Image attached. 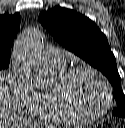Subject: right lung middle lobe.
<instances>
[{
  "label": "right lung middle lobe",
  "mask_w": 125,
  "mask_h": 128,
  "mask_svg": "<svg viewBox=\"0 0 125 128\" xmlns=\"http://www.w3.org/2000/svg\"><path fill=\"white\" fill-rule=\"evenodd\" d=\"M9 66V61L0 62V70L7 69Z\"/></svg>",
  "instance_id": "right-lung-middle-lobe-1"
}]
</instances>
